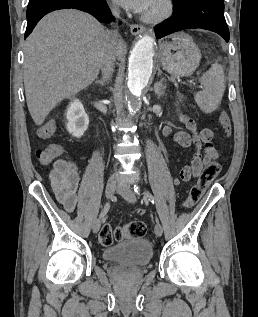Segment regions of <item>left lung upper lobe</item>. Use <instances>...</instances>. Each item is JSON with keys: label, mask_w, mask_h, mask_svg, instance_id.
Masks as SVG:
<instances>
[{"label": "left lung upper lobe", "mask_w": 258, "mask_h": 317, "mask_svg": "<svg viewBox=\"0 0 258 317\" xmlns=\"http://www.w3.org/2000/svg\"><path fill=\"white\" fill-rule=\"evenodd\" d=\"M184 1H186V0H173V3H174V5H178V4L183 3Z\"/></svg>", "instance_id": "obj_1"}]
</instances>
